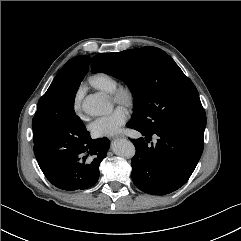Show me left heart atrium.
Masks as SVG:
<instances>
[{
	"instance_id": "left-heart-atrium-1",
	"label": "left heart atrium",
	"mask_w": 241,
	"mask_h": 241,
	"mask_svg": "<svg viewBox=\"0 0 241 241\" xmlns=\"http://www.w3.org/2000/svg\"><path fill=\"white\" fill-rule=\"evenodd\" d=\"M127 111L117 107L112 113L94 120L90 125V132L94 137H106L117 134L126 122Z\"/></svg>"
}]
</instances>
